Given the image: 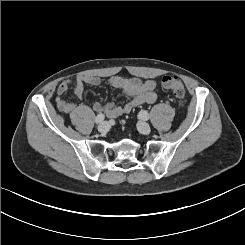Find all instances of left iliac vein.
I'll return each instance as SVG.
<instances>
[{
    "label": "left iliac vein",
    "instance_id": "left-iliac-vein-1",
    "mask_svg": "<svg viewBox=\"0 0 245 245\" xmlns=\"http://www.w3.org/2000/svg\"><path fill=\"white\" fill-rule=\"evenodd\" d=\"M138 127L142 134L148 135L150 133V126L146 122H139Z\"/></svg>",
    "mask_w": 245,
    "mask_h": 245
}]
</instances>
